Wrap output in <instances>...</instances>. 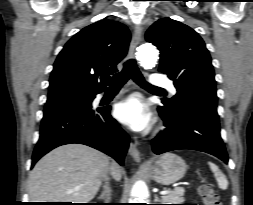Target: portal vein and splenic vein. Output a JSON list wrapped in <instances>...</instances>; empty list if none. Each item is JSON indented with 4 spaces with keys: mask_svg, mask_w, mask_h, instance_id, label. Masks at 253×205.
Segmentation results:
<instances>
[{
    "mask_svg": "<svg viewBox=\"0 0 253 205\" xmlns=\"http://www.w3.org/2000/svg\"><path fill=\"white\" fill-rule=\"evenodd\" d=\"M79 188L77 187V188H75V190H78ZM170 191L169 190H164V191H161L160 192V194L161 195H166V194H168Z\"/></svg>",
    "mask_w": 253,
    "mask_h": 205,
    "instance_id": "18ae733b",
    "label": "portal vein and splenic vein"
}]
</instances>
